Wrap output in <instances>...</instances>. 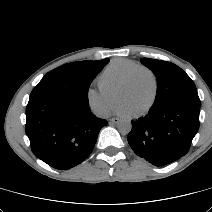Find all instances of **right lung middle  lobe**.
Returning a JSON list of instances; mask_svg holds the SVG:
<instances>
[{
  "instance_id": "1",
  "label": "right lung middle lobe",
  "mask_w": 212,
  "mask_h": 212,
  "mask_svg": "<svg viewBox=\"0 0 212 212\" xmlns=\"http://www.w3.org/2000/svg\"><path fill=\"white\" fill-rule=\"evenodd\" d=\"M108 62L109 59L80 61L55 68L44 75L30 97L38 94H62L89 103V86Z\"/></svg>"
}]
</instances>
